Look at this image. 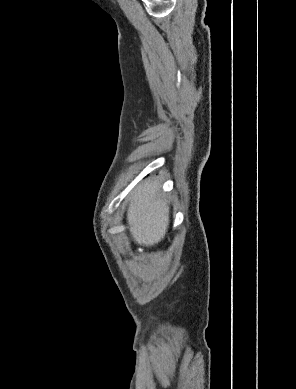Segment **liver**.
<instances>
[{
  "label": "liver",
  "mask_w": 296,
  "mask_h": 389,
  "mask_svg": "<svg viewBox=\"0 0 296 389\" xmlns=\"http://www.w3.org/2000/svg\"><path fill=\"white\" fill-rule=\"evenodd\" d=\"M127 221L134 241L153 246L164 239L169 226V206L160 197V186L146 182L129 198Z\"/></svg>",
  "instance_id": "obj_1"
}]
</instances>
